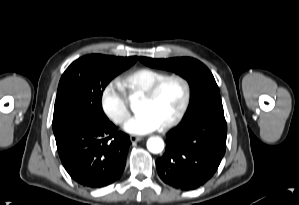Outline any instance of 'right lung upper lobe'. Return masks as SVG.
Instances as JSON below:
<instances>
[{"label": "right lung upper lobe", "instance_id": "cb5924a9", "mask_svg": "<svg viewBox=\"0 0 299 205\" xmlns=\"http://www.w3.org/2000/svg\"><path fill=\"white\" fill-rule=\"evenodd\" d=\"M92 57V56H101V55H88V57ZM104 56V55H102ZM108 57H112V58H116V59H120V60H125V61H130L132 63H135L137 60V57L133 56V57H126V58H122V57H113V56H108Z\"/></svg>", "mask_w": 299, "mask_h": 205}]
</instances>
